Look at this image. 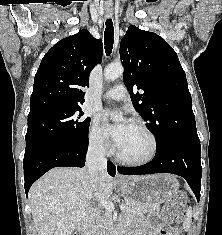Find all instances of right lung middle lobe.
<instances>
[{"instance_id": "1", "label": "right lung middle lobe", "mask_w": 222, "mask_h": 235, "mask_svg": "<svg viewBox=\"0 0 222 235\" xmlns=\"http://www.w3.org/2000/svg\"><path fill=\"white\" fill-rule=\"evenodd\" d=\"M83 115L80 105H63L28 116L25 154L50 144H88L91 119Z\"/></svg>"}]
</instances>
